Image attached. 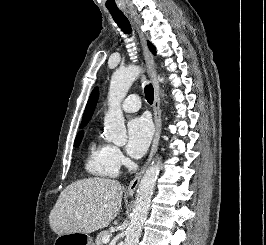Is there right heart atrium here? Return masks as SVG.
Instances as JSON below:
<instances>
[{
  "instance_id": "right-heart-atrium-1",
  "label": "right heart atrium",
  "mask_w": 266,
  "mask_h": 245,
  "mask_svg": "<svg viewBox=\"0 0 266 245\" xmlns=\"http://www.w3.org/2000/svg\"><path fill=\"white\" fill-rule=\"evenodd\" d=\"M111 152H112V156H113V158H114V160L118 166H121L125 163V157L118 147L111 146Z\"/></svg>"
}]
</instances>
